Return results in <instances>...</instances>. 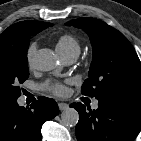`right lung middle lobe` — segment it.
I'll use <instances>...</instances> for the list:
<instances>
[{
	"label": "right lung middle lobe",
	"instance_id": "dd1d6c3e",
	"mask_svg": "<svg viewBox=\"0 0 141 141\" xmlns=\"http://www.w3.org/2000/svg\"><path fill=\"white\" fill-rule=\"evenodd\" d=\"M38 32L28 33L16 42H0V103L17 100L21 95L19 84L29 77L27 49L31 36Z\"/></svg>",
	"mask_w": 141,
	"mask_h": 141
}]
</instances>
